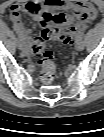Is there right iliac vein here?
I'll use <instances>...</instances> for the list:
<instances>
[{"mask_svg": "<svg viewBox=\"0 0 104 137\" xmlns=\"http://www.w3.org/2000/svg\"><path fill=\"white\" fill-rule=\"evenodd\" d=\"M17 48L19 50H24V45H23L22 41L19 38L17 40Z\"/></svg>", "mask_w": 104, "mask_h": 137, "instance_id": "obj_1", "label": "right iliac vein"}]
</instances>
